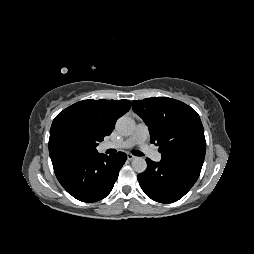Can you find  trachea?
Segmentation results:
<instances>
[{
  "label": "trachea",
  "mask_w": 254,
  "mask_h": 254,
  "mask_svg": "<svg viewBox=\"0 0 254 254\" xmlns=\"http://www.w3.org/2000/svg\"><path fill=\"white\" fill-rule=\"evenodd\" d=\"M108 151H109L110 153H115V152H116L115 149H109ZM132 154L135 155V156H143V155H144V154H143L141 151H139V150H133V151H132Z\"/></svg>",
  "instance_id": "trachea-1"
}]
</instances>
